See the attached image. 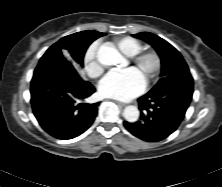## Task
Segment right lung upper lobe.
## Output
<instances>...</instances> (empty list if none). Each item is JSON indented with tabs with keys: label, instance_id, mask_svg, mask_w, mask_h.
Segmentation results:
<instances>
[{
	"label": "right lung upper lobe",
	"instance_id": "right-lung-upper-lobe-1",
	"mask_svg": "<svg viewBox=\"0 0 222 187\" xmlns=\"http://www.w3.org/2000/svg\"><path fill=\"white\" fill-rule=\"evenodd\" d=\"M84 33L88 34V35H92V36H98L101 37V36H104L105 33H101V32H97V31H92V30H87V31H83ZM46 56H50L48 54H45Z\"/></svg>",
	"mask_w": 222,
	"mask_h": 187
}]
</instances>
